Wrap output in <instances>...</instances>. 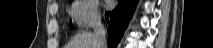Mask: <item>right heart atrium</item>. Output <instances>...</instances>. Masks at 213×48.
<instances>
[{
    "instance_id": "obj_1",
    "label": "right heart atrium",
    "mask_w": 213,
    "mask_h": 48,
    "mask_svg": "<svg viewBox=\"0 0 213 48\" xmlns=\"http://www.w3.org/2000/svg\"><path fill=\"white\" fill-rule=\"evenodd\" d=\"M70 15L80 29H88L100 21L99 5L96 0H77L72 3Z\"/></svg>"
}]
</instances>
